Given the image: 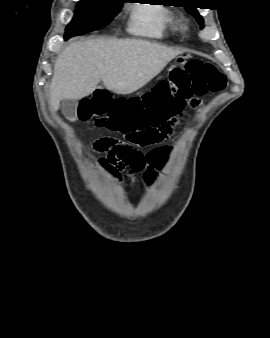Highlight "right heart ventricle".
<instances>
[{
  "label": "right heart ventricle",
  "instance_id": "1",
  "mask_svg": "<svg viewBox=\"0 0 270 338\" xmlns=\"http://www.w3.org/2000/svg\"><path fill=\"white\" fill-rule=\"evenodd\" d=\"M155 2L151 4H138L133 14L131 29L134 33L155 39H164L178 29L176 13L165 5Z\"/></svg>",
  "mask_w": 270,
  "mask_h": 338
}]
</instances>
